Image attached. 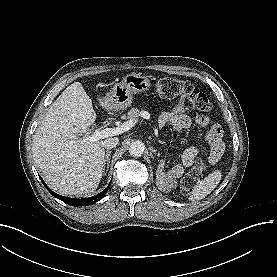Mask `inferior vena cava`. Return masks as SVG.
<instances>
[{
	"label": "inferior vena cava",
	"instance_id": "1",
	"mask_svg": "<svg viewBox=\"0 0 277 277\" xmlns=\"http://www.w3.org/2000/svg\"><path fill=\"white\" fill-rule=\"evenodd\" d=\"M119 139L117 137H110L104 141V147L106 149H112L117 146Z\"/></svg>",
	"mask_w": 277,
	"mask_h": 277
}]
</instances>
